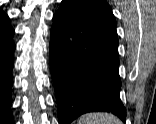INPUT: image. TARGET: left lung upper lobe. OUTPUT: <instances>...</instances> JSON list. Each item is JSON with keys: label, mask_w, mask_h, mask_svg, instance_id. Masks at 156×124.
Listing matches in <instances>:
<instances>
[{"label": "left lung upper lobe", "mask_w": 156, "mask_h": 124, "mask_svg": "<svg viewBox=\"0 0 156 124\" xmlns=\"http://www.w3.org/2000/svg\"><path fill=\"white\" fill-rule=\"evenodd\" d=\"M77 6L99 17L100 19L116 26L114 15L105 0H72Z\"/></svg>", "instance_id": "left-lung-upper-lobe-1"}]
</instances>
